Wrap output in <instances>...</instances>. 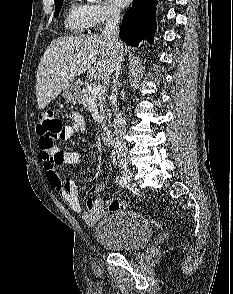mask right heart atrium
<instances>
[{"label": "right heart atrium", "instance_id": "1", "mask_svg": "<svg viewBox=\"0 0 233 294\" xmlns=\"http://www.w3.org/2000/svg\"><path fill=\"white\" fill-rule=\"evenodd\" d=\"M90 19V28L99 29L119 17V10L111 3H87L84 5Z\"/></svg>", "mask_w": 233, "mask_h": 294}]
</instances>
